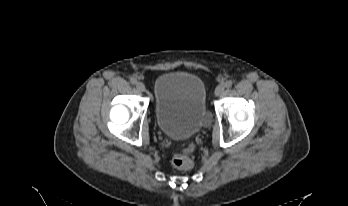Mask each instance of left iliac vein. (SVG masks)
Masks as SVG:
<instances>
[{
    "label": "left iliac vein",
    "instance_id": "left-iliac-vein-1",
    "mask_svg": "<svg viewBox=\"0 0 348 206\" xmlns=\"http://www.w3.org/2000/svg\"><path fill=\"white\" fill-rule=\"evenodd\" d=\"M224 89H225L224 85H222V84L218 85L215 89V96H217V97L221 96L224 92Z\"/></svg>",
    "mask_w": 348,
    "mask_h": 206
}]
</instances>
